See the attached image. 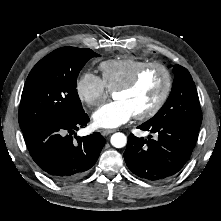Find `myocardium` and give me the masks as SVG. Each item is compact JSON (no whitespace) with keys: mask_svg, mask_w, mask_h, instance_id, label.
Returning <instances> with one entry per match:
<instances>
[{"mask_svg":"<svg viewBox=\"0 0 221 221\" xmlns=\"http://www.w3.org/2000/svg\"><path fill=\"white\" fill-rule=\"evenodd\" d=\"M150 68H158L163 73L164 87L159 98L148 110L134 115V117L138 120H146L155 116L167 102L173 87V77L169 68L165 64L158 61L146 62L140 66L129 79L116 87L113 91L116 93L120 91H127L133 88L138 83L143 74Z\"/></svg>","mask_w":221,"mask_h":221,"instance_id":"f54148a6","label":"myocardium"}]
</instances>
